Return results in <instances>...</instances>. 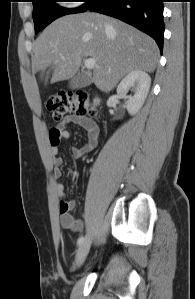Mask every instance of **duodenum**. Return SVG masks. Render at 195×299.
Wrapping results in <instances>:
<instances>
[{"instance_id":"410a0bca","label":"duodenum","mask_w":195,"mask_h":299,"mask_svg":"<svg viewBox=\"0 0 195 299\" xmlns=\"http://www.w3.org/2000/svg\"><path fill=\"white\" fill-rule=\"evenodd\" d=\"M93 101H94L95 104H98L99 103V98L94 97Z\"/></svg>"}]
</instances>
